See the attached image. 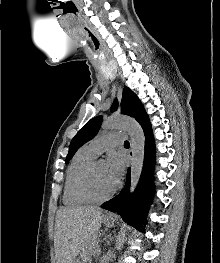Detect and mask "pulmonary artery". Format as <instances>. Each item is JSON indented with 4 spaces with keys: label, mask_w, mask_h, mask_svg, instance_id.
Returning <instances> with one entry per match:
<instances>
[{
    "label": "pulmonary artery",
    "mask_w": 220,
    "mask_h": 263,
    "mask_svg": "<svg viewBox=\"0 0 220 263\" xmlns=\"http://www.w3.org/2000/svg\"><path fill=\"white\" fill-rule=\"evenodd\" d=\"M124 141V135L117 132L104 134L92 141H90L85 148L95 157L102 153L104 150L121 144Z\"/></svg>",
    "instance_id": "obj_1"
}]
</instances>
